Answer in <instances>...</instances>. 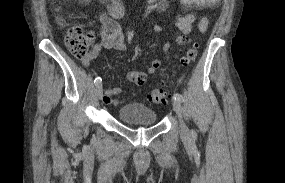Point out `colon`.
<instances>
[{"instance_id": "colon-1", "label": "colon", "mask_w": 285, "mask_h": 183, "mask_svg": "<svg viewBox=\"0 0 285 183\" xmlns=\"http://www.w3.org/2000/svg\"><path fill=\"white\" fill-rule=\"evenodd\" d=\"M56 8L59 10L62 0H55ZM58 23L61 26L66 24L63 16L58 18ZM93 34L85 32L79 25L70 26L67 29L65 36V44L69 52L76 58H86L90 53V46L93 41ZM198 56V44H193L187 50L186 56L183 58L184 65L192 64ZM170 94L165 85L152 90L149 94V99L153 103L164 104L168 102Z\"/></svg>"}]
</instances>
